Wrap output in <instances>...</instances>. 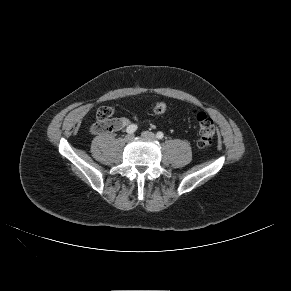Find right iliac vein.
<instances>
[{"label": "right iliac vein", "mask_w": 291, "mask_h": 291, "mask_svg": "<svg viewBox=\"0 0 291 291\" xmlns=\"http://www.w3.org/2000/svg\"><path fill=\"white\" fill-rule=\"evenodd\" d=\"M133 138H134L133 134H128L125 136L124 140H125V142L128 143V142H131L133 140Z\"/></svg>", "instance_id": "63e3f726"}]
</instances>
